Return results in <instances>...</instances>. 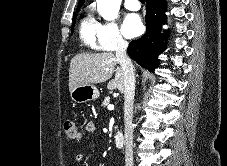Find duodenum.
<instances>
[{"label":"duodenum","mask_w":227,"mask_h":166,"mask_svg":"<svg viewBox=\"0 0 227 166\" xmlns=\"http://www.w3.org/2000/svg\"><path fill=\"white\" fill-rule=\"evenodd\" d=\"M115 144L116 147L121 149L124 146V134L121 131L116 132L115 134Z\"/></svg>","instance_id":"410a0bca"}]
</instances>
